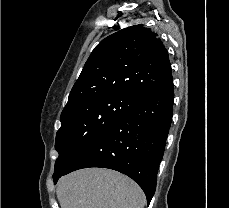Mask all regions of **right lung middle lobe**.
Returning <instances> with one entry per match:
<instances>
[{"mask_svg":"<svg viewBox=\"0 0 229 208\" xmlns=\"http://www.w3.org/2000/svg\"><path fill=\"white\" fill-rule=\"evenodd\" d=\"M139 101L129 96L111 94L80 103L60 117L55 149L53 178L61 175L77 154L97 135L109 128Z\"/></svg>","mask_w":229,"mask_h":208,"instance_id":"obj_1","label":"right lung middle lobe"}]
</instances>
